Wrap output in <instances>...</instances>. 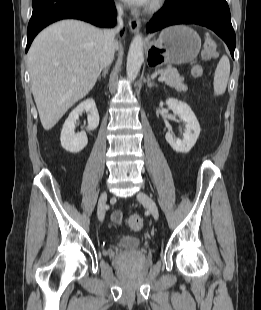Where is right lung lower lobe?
<instances>
[{"label":"right lung lower lobe","mask_w":261,"mask_h":310,"mask_svg":"<svg viewBox=\"0 0 261 310\" xmlns=\"http://www.w3.org/2000/svg\"><path fill=\"white\" fill-rule=\"evenodd\" d=\"M32 6L26 52L34 37L44 27L60 19H80L100 27L115 25L116 10L113 0H33Z\"/></svg>","instance_id":"98d812e1"}]
</instances>
